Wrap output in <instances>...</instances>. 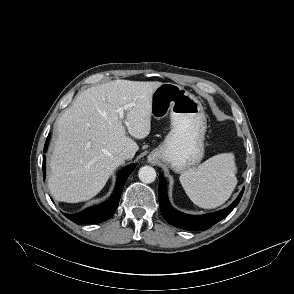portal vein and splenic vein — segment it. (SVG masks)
<instances>
[{"label": "portal vein and splenic vein", "instance_id": "18ae733b", "mask_svg": "<svg viewBox=\"0 0 294 294\" xmlns=\"http://www.w3.org/2000/svg\"><path fill=\"white\" fill-rule=\"evenodd\" d=\"M132 106H133V104H127V105H124L123 107L119 108L118 112H119L120 117L123 118L124 117V110H127Z\"/></svg>", "mask_w": 294, "mask_h": 294}]
</instances>
